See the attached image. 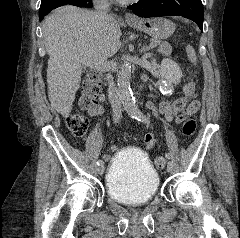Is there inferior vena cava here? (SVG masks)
<instances>
[{"mask_svg":"<svg viewBox=\"0 0 240 238\" xmlns=\"http://www.w3.org/2000/svg\"><path fill=\"white\" fill-rule=\"evenodd\" d=\"M95 11L92 12V16L100 21L107 22L112 19V15H109L110 5L108 0H92ZM108 98L113 109L114 117L120 119L122 117V101L119 95V91L115 84L112 82L108 88Z\"/></svg>","mask_w":240,"mask_h":238,"instance_id":"1","label":"inferior vena cava"}]
</instances>
